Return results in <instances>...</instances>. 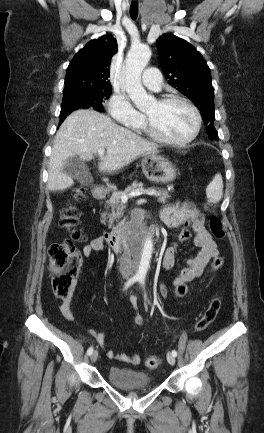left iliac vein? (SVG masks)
<instances>
[{
  "instance_id": "left-iliac-vein-1",
  "label": "left iliac vein",
  "mask_w": 264,
  "mask_h": 433,
  "mask_svg": "<svg viewBox=\"0 0 264 433\" xmlns=\"http://www.w3.org/2000/svg\"><path fill=\"white\" fill-rule=\"evenodd\" d=\"M167 361L170 365L175 364V357L172 355V353H167Z\"/></svg>"
}]
</instances>
